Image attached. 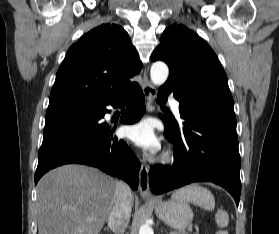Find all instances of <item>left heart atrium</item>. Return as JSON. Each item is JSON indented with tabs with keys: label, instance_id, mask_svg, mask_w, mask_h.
Listing matches in <instances>:
<instances>
[{
	"label": "left heart atrium",
	"instance_id": "39dd6f15",
	"mask_svg": "<svg viewBox=\"0 0 279 234\" xmlns=\"http://www.w3.org/2000/svg\"><path fill=\"white\" fill-rule=\"evenodd\" d=\"M126 136L136 145L151 151L159 149V141L156 137L150 121L144 120L126 128Z\"/></svg>",
	"mask_w": 279,
	"mask_h": 234
}]
</instances>
